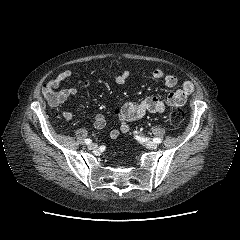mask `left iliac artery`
Returning a JSON list of instances; mask_svg holds the SVG:
<instances>
[{
    "instance_id": "left-iliac-artery-1",
    "label": "left iliac artery",
    "mask_w": 240,
    "mask_h": 240,
    "mask_svg": "<svg viewBox=\"0 0 240 240\" xmlns=\"http://www.w3.org/2000/svg\"><path fill=\"white\" fill-rule=\"evenodd\" d=\"M153 141L158 144L162 142V140L160 138H154Z\"/></svg>"
}]
</instances>
